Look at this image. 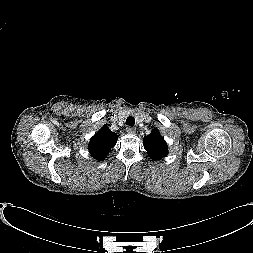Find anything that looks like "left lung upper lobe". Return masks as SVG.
<instances>
[{"mask_svg":"<svg viewBox=\"0 0 253 253\" xmlns=\"http://www.w3.org/2000/svg\"><path fill=\"white\" fill-rule=\"evenodd\" d=\"M145 150L154 160H160L168 154V147L157 129H154L143 139Z\"/></svg>","mask_w":253,"mask_h":253,"instance_id":"left-lung-upper-lobe-1","label":"left lung upper lobe"}]
</instances>
